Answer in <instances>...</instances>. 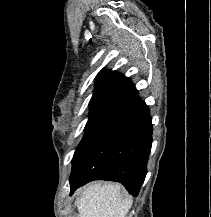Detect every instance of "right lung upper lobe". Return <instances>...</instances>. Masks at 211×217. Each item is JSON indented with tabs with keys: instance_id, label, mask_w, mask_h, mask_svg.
I'll return each mask as SVG.
<instances>
[{
	"instance_id": "cb5924a9",
	"label": "right lung upper lobe",
	"mask_w": 211,
	"mask_h": 217,
	"mask_svg": "<svg viewBox=\"0 0 211 217\" xmlns=\"http://www.w3.org/2000/svg\"><path fill=\"white\" fill-rule=\"evenodd\" d=\"M90 101L89 118L116 119L141 101L132 82L116 71H101Z\"/></svg>"
}]
</instances>
